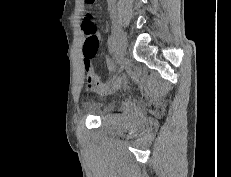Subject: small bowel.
Wrapping results in <instances>:
<instances>
[{
	"label": "small bowel",
	"instance_id": "small-bowel-1",
	"mask_svg": "<svg viewBox=\"0 0 231 177\" xmlns=\"http://www.w3.org/2000/svg\"><path fill=\"white\" fill-rule=\"evenodd\" d=\"M84 68L86 72V84L89 88L94 89L101 93H108L112 89L119 87L123 83V78L119 77L116 80L108 84H103L96 74L93 72V65L91 60L84 57Z\"/></svg>",
	"mask_w": 231,
	"mask_h": 177
}]
</instances>
